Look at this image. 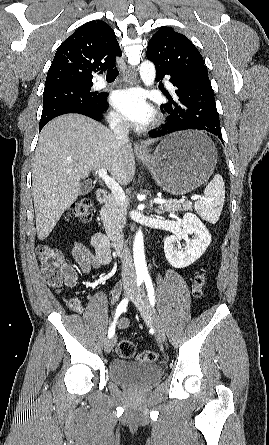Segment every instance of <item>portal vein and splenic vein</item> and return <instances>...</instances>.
<instances>
[{
  "mask_svg": "<svg viewBox=\"0 0 269 445\" xmlns=\"http://www.w3.org/2000/svg\"><path fill=\"white\" fill-rule=\"evenodd\" d=\"M97 173H98L99 178H101L105 182V184L108 186V188L111 190V192L115 196V198L118 199L121 203L126 204L127 198H126L124 191L122 190L121 186L115 181V179L108 176L107 169L100 168L97 171ZM191 199L197 200V199H202V197L192 196ZM184 201H185V197H182L181 199L174 200V201H167L162 198L154 199V202L157 204H164L166 202L183 203Z\"/></svg>",
  "mask_w": 269,
  "mask_h": 445,
  "instance_id": "1",
  "label": "portal vein and splenic vein"
}]
</instances>
